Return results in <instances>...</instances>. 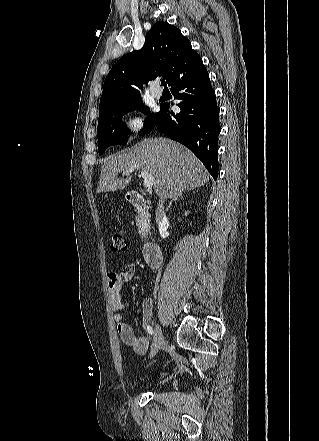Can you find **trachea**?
<instances>
[{"mask_svg": "<svg viewBox=\"0 0 319 441\" xmlns=\"http://www.w3.org/2000/svg\"><path fill=\"white\" fill-rule=\"evenodd\" d=\"M161 85L164 86V87H166V82H165V80H162V81H161Z\"/></svg>", "mask_w": 319, "mask_h": 441, "instance_id": "obj_1", "label": "trachea"}]
</instances>
